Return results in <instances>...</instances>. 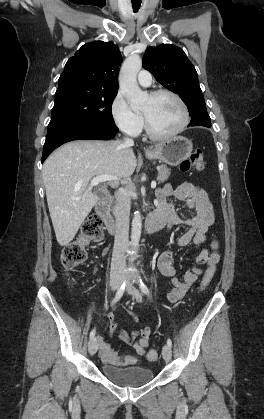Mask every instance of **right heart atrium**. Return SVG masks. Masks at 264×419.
Segmentation results:
<instances>
[{
  "mask_svg": "<svg viewBox=\"0 0 264 419\" xmlns=\"http://www.w3.org/2000/svg\"><path fill=\"white\" fill-rule=\"evenodd\" d=\"M110 112L115 125L130 136L138 135L144 125L142 116L133 111L123 94L118 92L112 100Z\"/></svg>",
  "mask_w": 264,
  "mask_h": 419,
  "instance_id": "d8ad5b80",
  "label": "right heart atrium"
}]
</instances>
